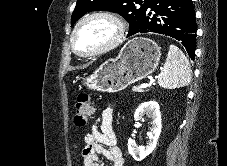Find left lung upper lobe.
Instances as JSON below:
<instances>
[{"label": "left lung upper lobe", "mask_w": 227, "mask_h": 166, "mask_svg": "<svg viewBox=\"0 0 227 166\" xmlns=\"http://www.w3.org/2000/svg\"><path fill=\"white\" fill-rule=\"evenodd\" d=\"M147 0H77L71 17V25L88 12L113 11L123 16L130 24L128 36L133 35L143 19Z\"/></svg>", "instance_id": "left-lung-upper-lobe-1"}]
</instances>
